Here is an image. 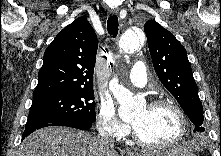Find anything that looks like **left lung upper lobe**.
I'll return each mask as SVG.
<instances>
[{"label":"left lung upper lobe","instance_id":"obj_1","mask_svg":"<svg viewBox=\"0 0 221 156\" xmlns=\"http://www.w3.org/2000/svg\"><path fill=\"white\" fill-rule=\"evenodd\" d=\"M144 29L153 66L160 81L195 125L194 132H203V107L185 48L155 20L147 21Z\"/></svg>","mask_w":221,"mask_h":156}]
</instances>
